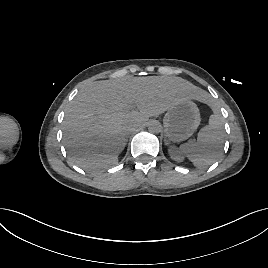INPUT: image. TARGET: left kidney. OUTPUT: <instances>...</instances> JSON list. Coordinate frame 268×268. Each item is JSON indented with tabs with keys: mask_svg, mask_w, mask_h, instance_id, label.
<instances>
[{
	"mask_svg": "<svg viewBox=\"0 0 268 268\" xmlns=\"http://www.w3.org/2000/svg\"><path fill=\"white\" fill-rule=\"evenodd\" d=\"M170 156L173 160L181 162L183 161V157L179 154L178 150L174 147L169 149Z\"/></svg>",
	"mask_w": 268,
	"mask_h": 268,
	"instance_id": "obj_1",
	"label": "left kidney"
}]
</instances>
